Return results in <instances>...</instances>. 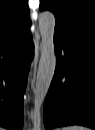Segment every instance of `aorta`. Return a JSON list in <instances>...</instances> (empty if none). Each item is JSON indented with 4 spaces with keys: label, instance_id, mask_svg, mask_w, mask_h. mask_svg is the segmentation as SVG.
Wrapping results in <instances>:
<instances>
[{
    "label": "aorta",
    "instance_id": "aorta-1",
    "mask_svg": "<svg viewBox=\"0 0 95 130\" xmlns=\"http://www.w3.org/2000/svg\"><path fill=\"white\" fill-rule=\"evenodd\" d=\"M54 29V14L49 11L40 13L41 55L34 89V115L32 119L34 127L38 130L41 127V107L48 93L56 66Z\"/></svg>",
    "mask_w": 95,
    "mask_h": 130
}]
</instances>
